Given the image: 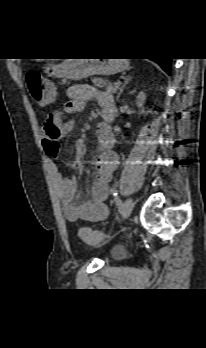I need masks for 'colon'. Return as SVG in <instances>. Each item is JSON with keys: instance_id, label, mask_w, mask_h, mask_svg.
<instances>
[{"instance_id": "1", "label": "colon", "mask_w": 206, "mask_h": 348, "mask_svg": "<svg viewBox=\"0 0 206 348\" xmlns=\"http://www.w3.org/2000/svg\"><path fill=\"white\" fill-rule=\"evenodd\" d=\"M25 81L32 98L37 102H40L44 97V93L49 88H51L48 84L45 83L40 71L36 69L27 71L25 75ZM79 236L84 242L89 244H96L103 238L102 233L91 228H82L80 230Z\"/></svg>"}]
</instances>
